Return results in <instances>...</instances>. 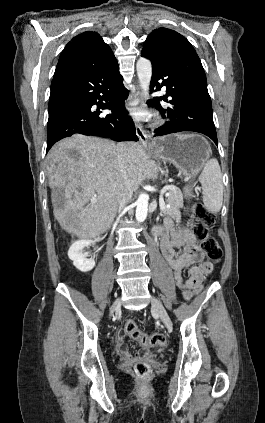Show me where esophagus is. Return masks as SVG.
<instances>
[{"label":"esophagus","instance_id":"34e87169","mask_svg":"<svg viewBox=\"0 0 265 423\" xmlns=\"http://www.w3.org/2000/svg\"><path fill=\"white\" fill-rule=\"evenodd\" d=\"M140 97H141V91H140L139 86H137L136 91L129 95L128 100H129V102H133V101L139 102ZM133 120H134V124H135L136 134H137L140 142L144 146H150L151 145L150 137L148 136V134L142 128L141 123L139 122V120L137 118H134Z\"/></svg>","mask_w":265,"mask_h":423}]
</instances>
